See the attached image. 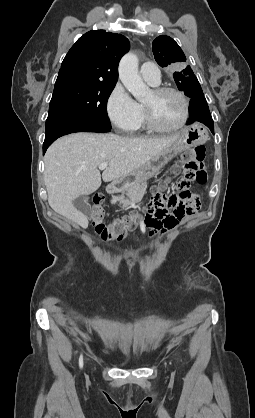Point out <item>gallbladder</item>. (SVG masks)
Masks as SVG:
<instances>
[{
  "mask_svg": "<svg viewBox=\"0 0 255 418\" xmlns=\"http://www.w3.org/2000/svg\"><path fill=\"white\" fill-rule=\"evenodd\" d=\"M89 197L81 195L74 200V206L83 213L86 217L90 218L92 215L91 207L89 206Z\"/></svg>",
  "mask_w": 255,
  "mask_h": 418,
  "instance_id": "bac80fb5",
  "label": "gallbladder"
}]
</instances>
